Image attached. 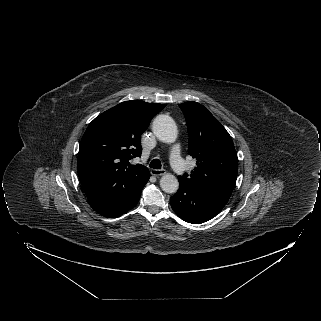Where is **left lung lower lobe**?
Instances as JSON below:
<instances>
[{
    "label": "left lung lower lobe",
    "instance_id": "0a47b994",
    "mask_svg": "<svg viewBox=\"0 0 321 321\" xmlns=\"http://www.w3.org/2000/svg\"><path fill=\"white\" fill-rule=\"evenodd\" d=\"M179 184V190L170 198L171 207L181 219L192 224H200L216 216L232 193L181 181Z\"/></svg>",
    "mask_w": 321,
    "mask_h": 321
}]
</instances>
